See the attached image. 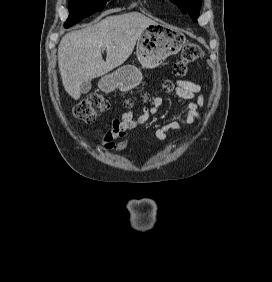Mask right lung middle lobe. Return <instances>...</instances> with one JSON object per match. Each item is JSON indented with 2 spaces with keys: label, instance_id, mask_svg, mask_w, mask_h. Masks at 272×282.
Masks as SVG:
<instances>
[{
  "label": "right lung middle lobe",
  "instance_id": "1",
  "mask_svg": "<svg viewBox=\"0 0 272 282\" xmlns=\"http://www.w3.org/2000/svg\"><path fill=\"white\" fill-rule=\"evenodd\" d=\"M109 0H69V17L64 27L68 28L95 12L101 11Z\"/></svg>",
  "mask_w": 272,
  "mask_h": 282
}]
</instances>
